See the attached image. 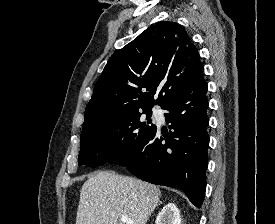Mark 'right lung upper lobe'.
Returning <instances> with one entry per match:
<instances>
[{
    "instance_id": "cb5924a9",
    "label": "right lung upper lobe",
    "mask_w": 275,
    "mask_h": 224,
    "mask_svg": "<svg viewBox=\"0 0 275 224\" xmlns=\"http://www.w3.org/2000/svg\"><path fill=\"white\" fill-rule=\"evenodd\" d=\"M201 69L198 51L179 24L161 21L150 26L108 60L86 107L83 129L155 104L162 108L189 87Z\"/></svg>"
}]
</instances>
